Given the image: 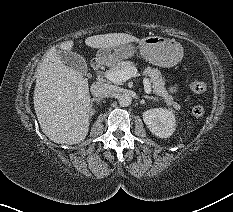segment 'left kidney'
I'll list each match as a JSON object with an SVG mask.
<instances>
[{
  "label": "left kidney",
  "instance_id": "5707ae66",
  "mask_svg": "<svg viewBox=\"0 0 233 212\" xmlns=\"http://www.w3.org/2000/svg\"><path fill=\"white\" fill-rule=\"evenodd\" d=\"M143 121L149 130L160 138L170 137L176 128V120L172 111L155 108L143 113Z\"/></svg>",
  "mask_w": 233,
  "mask_h": 212
}]
</instances>
